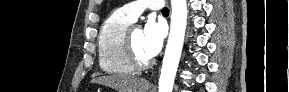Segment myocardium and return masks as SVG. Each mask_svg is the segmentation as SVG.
I'll use <instances>...</instances> for the list:
<instances>
[{"instance_id":"1","label":"myocardium","mask_w":289,"mask_h":92,"mask_svg":"<svg viewBox=\"0 0 289 92\" xmlns=\"http://www.w3.org/2000/svg\"><path fill=\"white\" fill-rule=\"evenodd\" d=\"M134 27H128L123 39V52L126 60L134 70H145L153 64V60H141L135 52L132 42V30Z\"/></svg>"}]
</instances>
